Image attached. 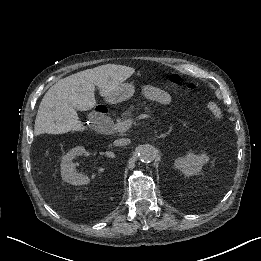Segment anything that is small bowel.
Listing matches in <instances>:
<instances>
[{"mask_svg":"<svg viewBox=\"0 0 261 261\" xmlns=\"http://www.w3.org/2000/svg\"><path fill=\"white\" fill-rule=\"evenodd\" d=\"M141 94L144 97L163 105L169 104L171 101V97L166 91L153 85L143 86L141 88Z\"/></svg>","mask_w":261,"mask_h":261,"instance_id":"obj_1","label":"small bowel"}]
</instances>
